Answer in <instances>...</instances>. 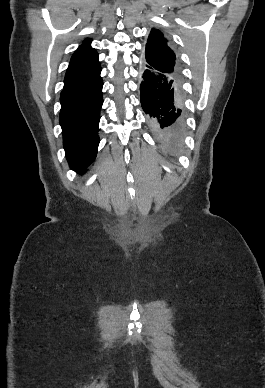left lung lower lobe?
<instances>
[{
	"label": "left lung lower lobe",
	"mask_w": 265,
	"mask_h": 388,
	"mask_svg": "<svg viewBox=\"0 0 265 388\" xmlns=\"http://www.w3.org/2000/svg\"><path fill=\"white\" fill-rule=\"evenodd\" d=\"M140 101L154 136L168 150L175 152L180 144L184 124L181 82L143 65Z\"/></svg>",
	"instance_id": "obj_1"
}]
</instances>
